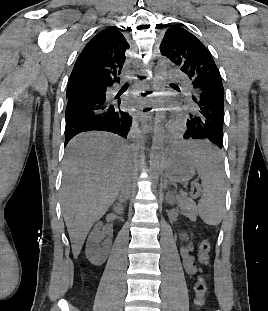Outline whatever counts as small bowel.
<instances>
[{
	"instance_id": "c3829d8e",
	"label": "small bowel",
	"mask_w": 268,
	"mask_h": 311,
	"mask_svg": "<svg viewBox=\"0 0 268 311\" xmlns=\"http://www.w3.org/2000/svg\"><path fill=\"white\" fill-rule=\"evenodd\" d=\"M180 252H181L182 263H183L185 271L189 275H195L197 271V266L195 264V258L191 254L192 246L190 244H186L181 247Z\"/></svg>"
}]
</instances>
